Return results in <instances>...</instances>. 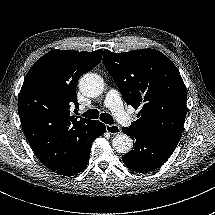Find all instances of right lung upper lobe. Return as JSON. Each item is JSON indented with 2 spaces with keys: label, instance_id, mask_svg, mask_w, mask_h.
Wrapping results in <instances>:
<instances>
[{
  "label": "right lung upper lobe",
  "instance_id": "cb5924a9",
  "mask_svg": "<svg viewBox=\"0 0 215 215\" xmlns=\"http://www.w3.org/2000/svg\"><path fill=\"white\" fill-rule=\"evenodd\" d=\"M102 52L50 51L24 79L18 98L20 121L36 156L50 170L65 159L70 135L91 122L71 116L69 109L79 105V77L100 63Z\"/></svg>",
  "mask_w": 215,
  "mask_h": 215
}]
</instances>
